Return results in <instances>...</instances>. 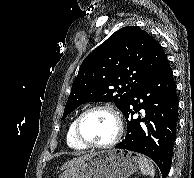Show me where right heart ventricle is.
<instances>
[{"instance_id": "right-heart-ventricle-1", "label": "right heart ventricle", "mask_w": 194, "mask_h": 178, "mask_svg": "<svg viewBox=\"0 0 194 178\" xmlns=\"http://www.w3.org/2000/svg\"><path fill=\"white\" fill-rule=\"evenodd\" d=\"M75 120L74 119L69 127H68V130H67V134H66V142H67V145L73 149V150H77V151H80V150H84L86 149L87 147L83 146L80 142H78V140L75 138V135H74V124H75Z\"/></svg>"}]
</instances>
